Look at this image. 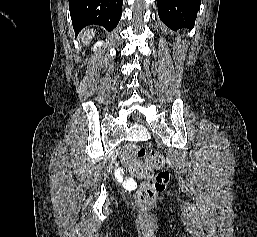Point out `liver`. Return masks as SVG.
<instances>
[{
    "label": "liver",
    "mask_w": 257,
    "mask_h": 237,
    "mask_svg": "<svg viewBox=\"0 0 257 237\" xmlns=\"http://www.w3.org/2000/svg\"><path fill=\"white\" fill-rule=\"evenodd\" d=\"M94 35H95V31L92 29L91 30L88 29V30L84 31V33L81 35V42L84 45L89 44V42L94 37Z\"/></svg>",
    "instance_id": "6515ba94"
}]
</instances>
